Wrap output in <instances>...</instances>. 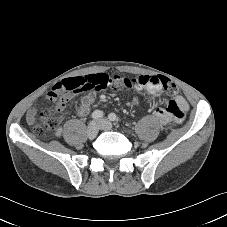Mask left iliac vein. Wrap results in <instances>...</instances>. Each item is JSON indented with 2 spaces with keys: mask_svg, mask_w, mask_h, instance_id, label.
<instances>
[{
  "mask_svg": "<svg viewBox=\"0 0 227 227\" xmlns=\"http://www.w3.org/2000/svg\"><path fill=\"white\" fill-rule=\"evenodd\" d=\"M98 125H99L100 129H102V130H112V128H113L111 122H109L106 119L99 120Z\"/></svg>",
  "mask_w": 227,
  "mask_h": 227,
  "instance_id": "4c4485c4",
  "label": "left iliac vein"
}]
</instances>
